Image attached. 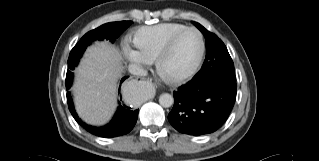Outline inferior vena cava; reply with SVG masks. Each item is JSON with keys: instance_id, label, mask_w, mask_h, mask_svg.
<instances>
[{"instance_id": "602c4592", "label": "inferior vena cava", "mask_w": 319, "mask_h": 161, "mask_svg": "<svg viewBox=\"0 0 319 161\" xmlns=\"http://www.w3.org/2000/svg\"><path fill=\"white\" fill-rule=\"evenodd\" d=\"M128 70L133 75L145 76L146 71L138 64H130Z\"/></svg>"}]
</instances>
